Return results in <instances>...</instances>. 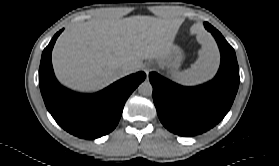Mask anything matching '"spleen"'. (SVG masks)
Listing matches in <instances>:
<instances>
[{
	"mask_svg": "<svg viewBox=\"0 0 279 166\" xmlns=\"http://www.w3.org/2000/svg\"><path fill=\"white\" fill-rule=\"evenodd\" d=\"M202 48L198 52V59L187 70L176 73L180 83L196 85L211 79L219 66L220 56L216 44L209 36H201Z\"/></svg>",
	"mask_w": 279,
	"mask_h": 166,
	"instance_id": "1",
	"label": "spleen"
}]
</instances>
